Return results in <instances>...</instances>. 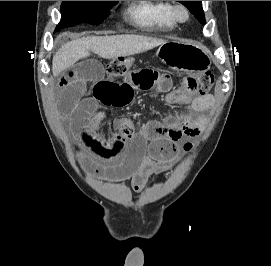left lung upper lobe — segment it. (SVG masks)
Returning <instances> with one entry per match:
<instances>
[{"label":"left lung upper lobe","mask_w":271,"mask_h":266,"mask_svg":"<svg viewBox=\"0 0 271 266\" xmlns=\"http://www.w3.org/2000/svg\"><path fill=\"white\" fill-rule=\"evenodd\" d=\"M184 4L190 12L198 19L202 24L205 23L204 11L202 9V1H179Z\"/></svg>","instance_id":"1"}]
</instances>
